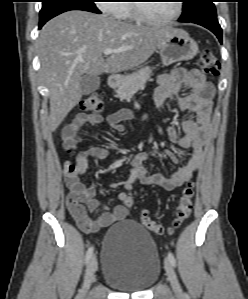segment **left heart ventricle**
I'll return each mask as SVG.
<instances>
[{"mask_svg":"<svg viewBox=\"0 0 248 299\" xmlns=\"http://www.w3.org/2000/svg\"><path fill=\"white\" fill-rule=\"evenodd\" d=\"M144 11L158 19H163L172 16L176 11L175 1H152L142 3Z\"/></svg>","mask_w":248,"mask_h":299,"instance_id":"left-heart-ventricle-1","label":"left heart ventricle"}]
</instances>
